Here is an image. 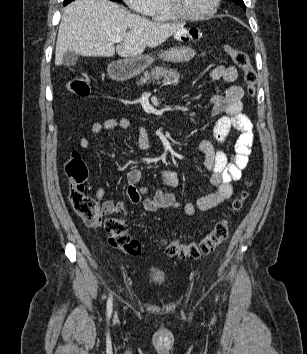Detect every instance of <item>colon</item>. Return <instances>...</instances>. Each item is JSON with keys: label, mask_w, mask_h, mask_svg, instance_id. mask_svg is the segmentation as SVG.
Here are the masks:
<instances>
[{"label": "colon", "mask_w": 307, "mask_h": 354, "mask_svg": "<svg viewBox=\"0 0 307 354\" xmlns=\"http://www.w3.org/2000/svg\"><path fill=\"white\" fill-rule=\"evenodd\" d=\"M225 51L232 58L234 64L243 72V79L248 94L254 97L256 94L257 73L251 64L249 55L240 49L226 45ZM69 89L79 97H86L90 93V84L84 72L74 73L68 81ZM66 173L69 178V202L81 217L84 223L91 228L104 227L109 234V244L118 250L129 255H139L142 246L139 241L131 238L127 232L126 220L124 217H108L104 205L91 197L85 191V183L88 178V169L78 152H73L66 162ZM248 196L247 191H242L234 199L232 210L238 211L242 208ZM229 220L223 218L217 221L214 227L199 241L188 244L180 243L177 240L163 239L162 245L170 257L179 259L196 260L208 255L220 246L228 237Z\"/></svg>", "instance_id": "colon-1"}]
</instances>
